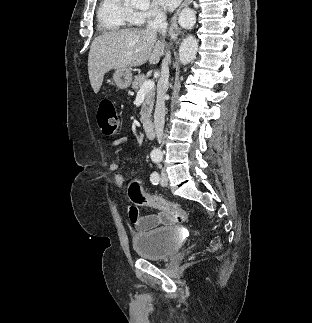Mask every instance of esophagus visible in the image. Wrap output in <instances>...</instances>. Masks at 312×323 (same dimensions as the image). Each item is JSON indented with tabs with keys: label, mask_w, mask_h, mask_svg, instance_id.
<instances>
[{
	"label": "esophagus",
	"mask_w": 312,
	"mask_h": 323,
	"mask_svg": "<svg viewBox=\"0 0 312 323\" xmlns=\"http://www.w3.org/2000/svg\"><path fill=\"white\" fill-rule=\"evenodd\" d=\"M191 3V0H183V2L181 3V5L177 8L176 12L173 14L171 20H170V33L176 37L179 32H180V28L177 22L178 16L180 11L185 8L188 7Z\"/></svg>",
	"instance_id": "esophagus-1"
}]
</instances>
